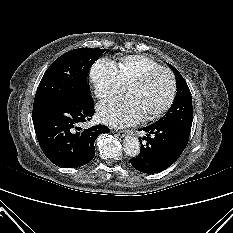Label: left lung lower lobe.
<instances>
[{"instance_id": "1", "label": "left lung lower lobe", "mask_w": 233, "mask_h": 233, "mask_svg": "<svg viewBox=\"0 0 233 233\" xmlns=\"http://www.w3.org/2000/svg\"><path fill=\"white\" fill-rule=\"evenodd\" d=\"M141 130L147 132V137H143L147 143L143 145L141 142L140 154L130 159V163L138 171L148 174L171 166L185 149L190 135L172 124L159 121Z\"/></svg>"}]
</instances>
